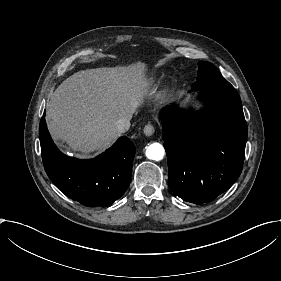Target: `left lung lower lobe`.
<instances>
[{
    "instance_id": "left-lung-lower-lobe-1",
    "label": "left lung lower lobe",
    "mask_w": 281,
    "mask_h": 281,
    "mask_svg": "<svg viewBox=\"0 0 281 281\" xmlns=\"http://www.w3.org/2000/svg\"><path fill=\"white\" fill-rule=\"evenodd\" d=\"M206 108L196 113L167 106L161 110L168 184L184 201H213L242 171L247 124L238 92L208 87L199 93Z\"/></svg>"
}]
</instances>
